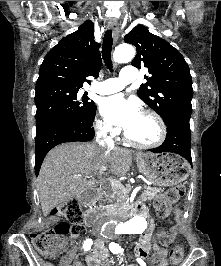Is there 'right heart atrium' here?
I'll return each mask as SVG.
<instances>
[{"label": "right heart atrium", "instance_id": "right-heart-atrium-1", "mask_svg": "<svg viewBox=\"0 0 221 266\" xmlns=\"http://www.w3.org/2000/svg\"><path fill=\"white\" fill-rule=\"evenodd\" d=\"M95 130L99 136L102 137H115L118 135V130L113 128L103 119H97L95 122Z\"/></svg>", "mask_w": 221, "mask_h": 266}]
</instances>
